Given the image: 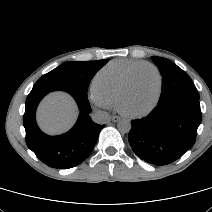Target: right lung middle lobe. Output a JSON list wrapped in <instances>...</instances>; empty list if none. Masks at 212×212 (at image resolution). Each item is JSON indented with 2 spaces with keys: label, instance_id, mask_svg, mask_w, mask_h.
I'll return each mask as SVG.
<instances>
[{
  "label": "right lung middle lobe",
  "instance_id": "right-lung-middle-lobe-1",
  "mask_svg": "<svg viewBox=\"0 0 212 212\" xmlns=\"http://www.w3.org/2000/svg\"><path fill=\"white\" fill-rule=\"evenodd\" d=\"M97 61H69L43 75L34 86L69 88L87 95L90 81L106 63Z\"/></svg>",
  "mask_w": 212,
  "mask_h": 212
}]
</instances>
